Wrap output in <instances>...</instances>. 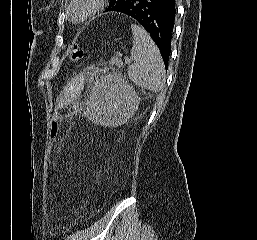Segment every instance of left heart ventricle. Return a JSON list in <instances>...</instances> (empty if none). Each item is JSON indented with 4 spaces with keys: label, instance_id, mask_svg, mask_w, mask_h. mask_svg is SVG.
<instances>
[{
    "label": "left heart ventricle",
    "instance_id": "1",
    "mask_svg": "<svg viewBox=\"0 0 257 240\" xmlns=\"http://www.w3.org/2000/svg\"><path fill=\"white\" fill-rule=\"evenodd\" d=\"M85 7L84 5H77L75 8H74V13L76 15H80L83 11H84Z\"/></svg>",
    "mask_w": 257,
    "mask_h": 240
}]
</instances>
